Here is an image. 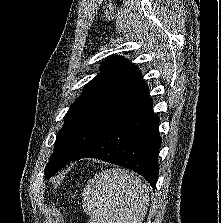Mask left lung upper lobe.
I'll list each match as a JSON object with an SVG mask.
<instances>
[{"instance_id": "left-lung-upper-lobe-1", "label": "left lung upper lobe", "mask_w": 221, "mask_h": 223, "mask_svg": "<svg viewBox=\"0 0 221 223\" xmlns=\"http://www.w3.org/2000/svg\"><path fill=\"white\" fill-rule=\"evenodd\" d=\"M100 71L66 113L45 168L46 178L82 153L148 93L138 67L118 56L107 58Z\"/></svg>"}]
</instances>
